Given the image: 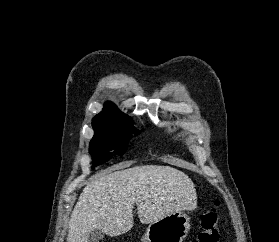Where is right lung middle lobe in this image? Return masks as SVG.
Segmentation results:
<instances>
[{"label":"right lung middle lobe","mask_w":279,"mask_h":242,"mask_svg":"<svg viewBox=\"0 0 279 242\" xmlns=\"http://www.w3.org/2000/svg\"><path fill=\"white\" fill-rule=\"evenodd\" d=\"M92 126L95 131L89 146L94 164L92 168L105 163L115 155H123L127 150L128 137L133 133H140L133 125L118 126L112 123H92Z\"/></svg>","instance_id":"dd1d6c3e"}]
</instances>
